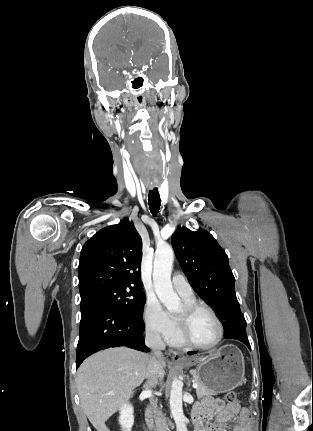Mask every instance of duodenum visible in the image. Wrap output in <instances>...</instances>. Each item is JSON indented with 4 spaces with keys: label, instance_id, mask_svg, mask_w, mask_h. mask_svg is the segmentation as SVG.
Segmentation results:
<instances>
[{
    "label": "duodenum",
    "instance_id": "duodenum-1",
    "mask_svg": "<svg viewBox=\"0 0 313 431\" xmlns=\"http://www.w3.org/2000/svg\"><path fill=\"white\" fill-rule=\"evenodd\" d=\"M193 421L196 423V417L193 415ZM147 422L150 427L153 426V419H152V406H150L147 410Z\"/></svg>",
    "mask_w": 313,
    "mask_h": 431
}]
</instances>
